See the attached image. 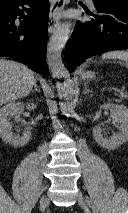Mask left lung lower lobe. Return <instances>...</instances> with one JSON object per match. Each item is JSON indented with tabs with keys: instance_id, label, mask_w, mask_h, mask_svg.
<instances>
[{
	"instance_id": "1",
	"label": "left lung lower lobe",
	"mask_w": 128,
	"mask_h": 213,
	"mask_svg": "<svg viewBox=\"0 0 128 213\" xmlns=\"http://www.w3.org/2000/svg\"><path fill=\"white\" fill-rule=\"evenodd\" d=\"M97 13L91 21L77 22L66 45L70 72L85 59L107 51L128 49V1L93 0Z\"/></svg>"
}]
</instances>
